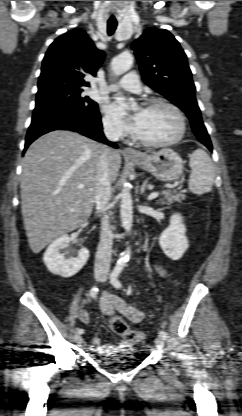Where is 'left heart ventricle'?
Wrapping results in <instances>:
<instances>
[{
	"instance_id": "1",
	"label": "left heart ventricle",
	"mask_w": 242,
	"mask_h": 416,
	"mask_svg": "<svg viewBox=\"0 0 242 416\" xmlns=\"http://www.w3.org/2000/svg\"><path fill=\"white\" fill-rule=\"evenodd\" d=\"M134 132L148 141H164L172 138L178 131L179 122L176 115L168 108L157 106L142 108L136 112Z\"/></svg>"
}]
</instances>
